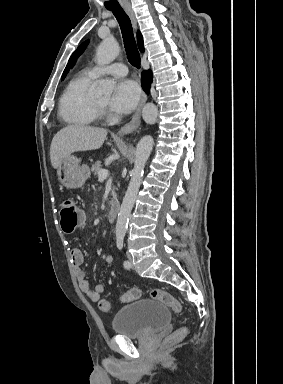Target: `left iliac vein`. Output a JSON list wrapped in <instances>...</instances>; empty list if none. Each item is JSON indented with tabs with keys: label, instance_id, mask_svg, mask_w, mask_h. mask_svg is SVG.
<instances>
[{
	"label": "left iliac vein",
	"instance_id": "left-iliac-vein-1",
	"mask_svg": "<svg viewBox=\"0 0 283 384\" xmlns=\"http://www.w3.org/2000/svg\"><path fill=\"white\" fill-rule=\"evenodd\" d=\"M127 258H128L129 263H130V268H133L132 256L130 253H127Z\"/></svg>",
	"mask_w": 283,
	"mask_h": 384
}]
</instances>
